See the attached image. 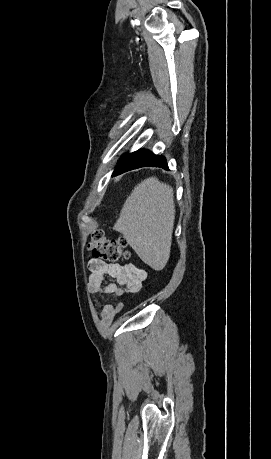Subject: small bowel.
Wrapping results in <instances>:
<instances>
[{
	"label": "small bowel",
	"mask_w": 271,
	"mask_h": 459,
	"mask_svg": "<svg viewBox=\"0 0 271 459\" xmlns=\"http://www.w3.org/2000/svg\"><path fill=\"white\" fill-rule=\"evenodd\" d=\"M88 267L91 272L88 282L89 291L116 298L136 293L147 277L145 270L133 264H112L99 259H92ZM106 279H112L113 282L103 286ZM124 307L123 300L105 305L101 312L102 324L105 326L111 324Z\"/></svg>",
	"instance_id": "small-bowel-1"
}]
</instances>
